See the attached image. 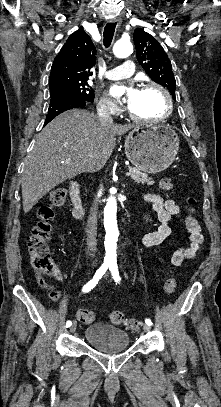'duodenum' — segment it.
<instances>
[{"label": "duodenum", "mask_w": 221, "mask_h": 407, "mask_svg": "<svg viewBox=\"0 0 221 407\" xmlns=\"http://www.w3.org/2000/svg\"><path fill=\"white\" fill-rule=\"evenodd\" d=\"M72 203V215L76 219H83L86 216V211L83 206L81 196V187L79 183H73L69 187Z\"/></svg>", "instance_id": "duodenum-1"}]
</instances>
